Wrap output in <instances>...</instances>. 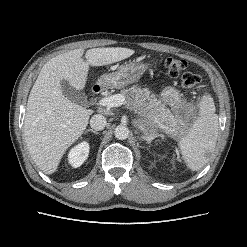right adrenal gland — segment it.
<instances>
[{
  "label": "right adrenal gland",
  "instance_id": "2a0ac1e0",
  "mask_svg": "<svg viewBox=\"0 0 247 247\" xmlns=\"http://www.w3.org/2000/svg\"><path fill=\"white\" fill-rule=\"evenodd\" d=\"M87 132H92V133H94V134H99L97 131H95V130H93V129H87L86 131H85V133H87Z\"/></svg>",
  "mask_w": 247,
  "mask_h": 247
}]
</instances>
